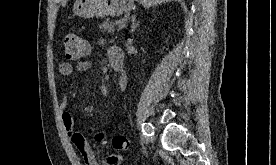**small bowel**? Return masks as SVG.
Returning a JSON list of instances; mask_svg holds the SVG:
<instances>
[{
    "label": "small bowel",
    "instance_id": "small-bowel-1",
    "mask_svg": "<svg viewBox=\"0 0 276 165\" xmlns=\"http://www.w3.org/2000/svg\"><path fill=\"white\" fill-rule=\"evenodd\" d=\"M109 59L112 56H117L124 59L123 52L118 47H111L108 52ZM91 66L90 61H81L78 62L77 65L74 67L71 63L68 62H62L59 65V72L62 76H70L74 69L78 70L79 72H85L87 71ZM127 84V77L125 74H122L119 78L118 85L121 90H124L126 88ZM61 113H62V121L64 124V127L66 129V132L72 141V143L76 146L80 154L82 155V158L84 160L85 165H100L94 155V152L83 136L81 132H79L76 129V121L73 116V114L67 109V102L64 98L61 103ZM104 165H120L121 164V156L118 154H110L106 157V159L103 162Z\"/></svg>",
    "mask_w": 276,
    "mask_h": 165
}]
</instances>
